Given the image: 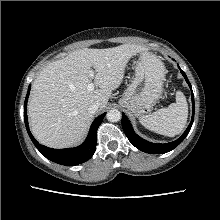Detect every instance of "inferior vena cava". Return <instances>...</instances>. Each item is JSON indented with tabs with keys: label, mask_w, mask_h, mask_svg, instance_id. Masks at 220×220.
Returning a JSON list of instances; mask_svg holds the SVG:
<instances>
[{
	"label": "inferior vena cava",
	"mask_w": 220,
	"mask_h": 220,
	"mask_svg": "<svg viewBox=\"0 0 220 220\" xmlns=\"http://www.w3.org/2000/svg\"><path fill=\"white\" fill-rule=\"evenodd\" d=\"M99 106L100 105L98 103H93L92 105L89 106L88 112L91 114H95L98 111Z\"/></svg>",
	"instance_id": "1"
}]
</instances>
